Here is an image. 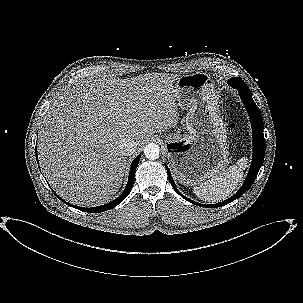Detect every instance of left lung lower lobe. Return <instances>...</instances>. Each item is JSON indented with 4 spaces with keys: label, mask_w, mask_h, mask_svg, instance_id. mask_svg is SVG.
<instances>
[{
    "label": "left lung lower lobe",
    "mask_w": 303,
    "mask_h": 303,
    "mask_svg": "<svg viewBox=\"0 0 303 303\" xmlns=\"http://www.w3.org/2000/svg\"><path fill=\"white\" fill-rule=\"evenodd\" d=\"M228 83L233 88L238 89L240 97L249 114L250 122H251V126H252V132H253V158H252V163H251L249 173L247 175V178H246L243 186L239 189V191L236 194H234L232 197H230L229 199H227L221 203L211 204V205L199 204L197 202H194V201L186 198L177 190L175 183L172 179V176L170 174V170L166 166V169L168 172V178H169L174 190L185 200H187L195 205L202 206V207H208V208L221 207V206H224V205L234 201L235 199H238L239 197H241L253 184L254 180L257 177L259 169L261 168V166L263 164V160H264V154H265V140H264V136H263L264 124H263V119H262V116L260 113V109L255 104V102L252 98V95H251V91L249 90V88L246 86V84L243 82V80L241 78H239V77L232 78L228 81Z\"/></svg>",
    "instance_id": "obj_1"
}]
</instances>
